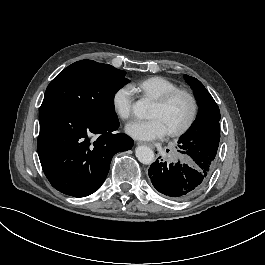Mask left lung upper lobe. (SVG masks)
Instances as JSON below:
<instances>
[{
    "label": "left lung upper lobe",
    "instance_id": "obj_1",
    "mask_svg": "<svg viewBox=\"0 0 265 265\" xmlns=\"http://www.w3.org/2000/svg\"><path fill=\"white\" fill-rule=\"evenodd\" d=\"M184 78L194 91L199 110L196 120L181 136L178 144L183 150L181 153L213 168L220 141V111L211 94L199 80L188 75Z\"/></svg>",
    "mask_w": 265,
    "mask_h": 265
}]
</instances>
